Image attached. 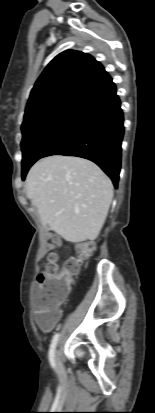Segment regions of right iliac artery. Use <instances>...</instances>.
<instances>
[{
    "mask_svg": "<svg viewBox=\"0 0 155 413\" xmlns=\"http://www.w3.org/2000/svg\"><path fill=\"white\" fill-rule=\"evenodd\" d=\"M58 338H59V334L57 333V334H55V336L53 337V340H52V342H51L50 349H49V361H50L51 366H52L54 369H56V363H55V348H56V345H57Z\"/></svg>",
    "mask_w": 155,
    "mask_h": 413,
    "instance_id": "1",
    "label": "right iliac artery"
}]
</instances>
